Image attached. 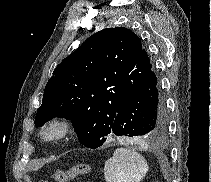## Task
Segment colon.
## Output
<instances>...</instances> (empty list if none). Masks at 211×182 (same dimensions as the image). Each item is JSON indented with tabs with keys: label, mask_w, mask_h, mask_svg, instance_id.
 Wrapping results in <instances>:
<instances>
[{
	"label": "colon",
	"mask_w": 211,
	"mask_h": 182,
	"mask_svg": "<svg viewBox=\"0 0 211 182\" xmlns=\"http://www.w3.org/2000/svg\"><path fill=\"white\" fill-rule=\"evenodd\" d=\"M91 171L89 163H80L66 171H56L54 178L57 182H68L77 176L88 174ZM46 182V181H41Z\"/></svg>",
	"instance_id": "5ec220e1"
}]
</instances>
